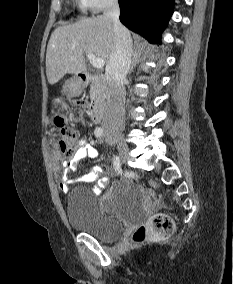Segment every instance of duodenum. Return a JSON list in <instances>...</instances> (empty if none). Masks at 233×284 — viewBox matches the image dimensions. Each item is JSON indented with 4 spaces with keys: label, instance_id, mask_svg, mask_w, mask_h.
Listing matches in <instances>:
<instances>
[{
    "label": "duodenum",
    "instance_id": "410a0bca",
    "mask_svg": "<svg viewBox=\"0 0 233 284\" xmlns=\"http://www.w3.org/2000/svg\"><path fill=\"white\" fill-rule=\"evenodd\" d=\"M91 84L95 91V100L89 109V115L93 122L100 123L103 120L108 98V82L103 74H90L80 72L78 74V86Z\"/></svg>",
    "mask_w": 233,
    "mask_h": 284
}]
</instances>
